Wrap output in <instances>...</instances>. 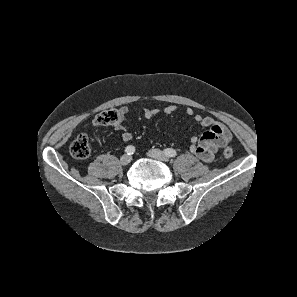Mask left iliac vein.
<instances>
[{"label": "left iliac vein", "instance_id": "4c4485c4", "mask_svg": "<svg viewBox=\"0 0 297 297\" xmlns=\"http://www.w3.org/2000/svg\"><path fill=\"white\" fill-rule=\"evenodd\" d=\"M147 155L153 159L160 160V161H168L169 157L158 149H151L148 151Z\"/></svg>", "mask_w": 297, "mask_h": 297}]
</instances>
